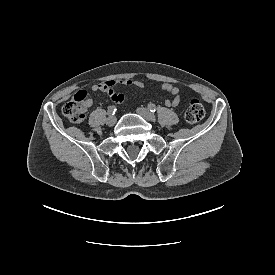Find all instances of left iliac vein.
I'll return each instance as SVG.
<instances>
[{
	"label": "left iliac vein",
	"mask_w": 275,
	"mask_h": 275,
	"mask_svg": "<svg viewBox=\"0 0 275 275\" xmlns=\"http://www.w3.org/2000/svg\"><path fill=\"white\" fill-rule=\"evenodd\" d=\"M137 113L142 116L144 119L148 120V121H154V116L152 115V113H150V111L146 108L143 107H139L137 108Z\"/></svg>",
	"instance_id": "4c4485c4"
}]
</instances>
